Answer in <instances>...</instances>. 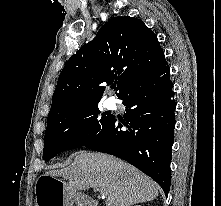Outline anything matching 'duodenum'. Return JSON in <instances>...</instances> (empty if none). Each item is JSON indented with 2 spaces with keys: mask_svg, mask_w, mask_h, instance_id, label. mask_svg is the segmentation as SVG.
<instances>
[{
  "mask_svg": "<svg viewBox=\"0 0 221 206\" xmlns=\"http://www.w3.org/2000/svg\"><path fill=\"white\" fill-rule=\"evenodd\" d=\"M88 201H89L88 206H96V203L92 198H88Z\"/></svg>",
  "mask_w": 221,
  "mask_h": 206,
  "instance_id": "duodenum-1",
  "label": "duodenum"
}]
</instances>
